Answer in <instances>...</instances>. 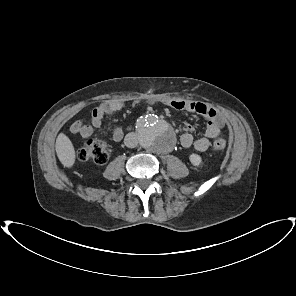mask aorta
<instances>
[{
	"label": "aorta",
	"instance_id": "obj_1",
	"mask_svg": "<svg viewBox=\"0 0 296 296\" xmlns=\"http://www.w3.org/2000/svg\"><path fill=\"white\" fill-rule=\"evenodd\" d=\"M138 139L141 146L154 153H167L175 144L172 127L156 115L140 117L137 120Z\"/></svg>",
	"mask_w": 296,
	"mask_h": 296
}]
</instances>
